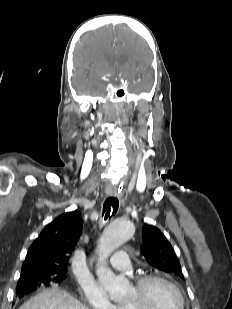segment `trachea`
Listing matches in <instances>:
<instances>
[{"instance_id":"3493384b","label":"trachea","mask_w":232,"mask_h":309,"mask_svg":"<svg viewBox=\"0 0 232 309\" xmlns=\"http://www.w3.org/2000/svg\"><path fill=\"white\" fill-rule=\"evenodd\" d=\"M119 201L116 197H108L103 204V216L104 220H107L111 216H114L118 210Z\"/></svg>"}]
</instances>
